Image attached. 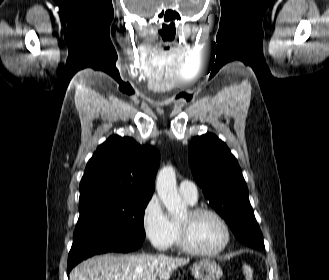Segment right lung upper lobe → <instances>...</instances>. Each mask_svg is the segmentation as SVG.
Wrapping results in <instances>:
<instances>
[{
  "label": "right lung upper lobe",
  "mask_w": 329,
  "mask_h": 280,
  "mask_svg": "<svg viewBox=\"0 0 329 280\" xmlns=\"http://www.w3.org/2000/svg\"><path fill=\"white\" fill-rule=\"evenodd\" d=\"M159 151L133 138L110 136L98 146L80 182L79 203L96 198L152 196Z\"/></svg>",
  "instance_id": "obj_1"
}]
</instances>
